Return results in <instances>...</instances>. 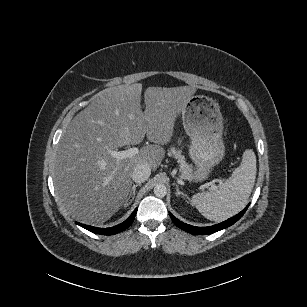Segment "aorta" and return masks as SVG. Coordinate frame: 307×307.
Returning <instances> with one entry per match:
<instances>
[{
    "label": "aorta",
    "instance_id": "762f6f07",
    "mask_svg": "<svg viewBox=\"0 0 307 307\" xmlns=\"http://www.w3.org/2000/svg\"><path fill=\"white\" fill-rule=\"evenodd\" d=\"M154 194L157 197H163L167 194V187L163 183L156 184L154 187Z\"/></svg>",
    "mask_w": 307,
    "mask_h": 307
}]
</instances>
